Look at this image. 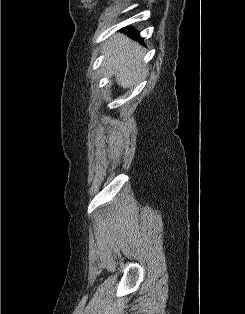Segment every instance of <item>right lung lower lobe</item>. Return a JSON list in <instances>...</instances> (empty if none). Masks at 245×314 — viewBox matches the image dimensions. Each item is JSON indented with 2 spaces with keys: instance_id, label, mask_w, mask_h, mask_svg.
Returning <instances> with one entry per match:
<instances>
[{
  "instance_id": "1",
  "label": "right lung lower lobe",
  "mask_w": 245,
  "mask_h": 314,
  "mask_svg": "<svg viewBox=\"0 0 245 314\" xmlns=\"http://www.w3.org/2000/svg\"><path fill=\"white\" fill-rule=\"evenodd\" d=\"M127 31H129V33L131 34L132 37L137 38L139 40H141L139 34L137 31H135L134 29H132L131 27H126L125 28Z\"/></svg>"
}]
</instances>
